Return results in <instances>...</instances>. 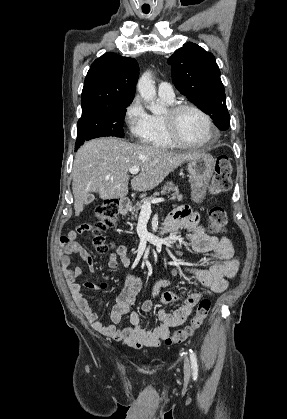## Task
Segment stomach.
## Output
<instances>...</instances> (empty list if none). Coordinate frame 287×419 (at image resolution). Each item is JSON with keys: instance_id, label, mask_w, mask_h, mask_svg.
<instances>
[{"instance_id": "1", "label": "stomach", "mask_w": 287, "mask_h": 419, "mask_svg": "<svg viewBox=\"0 0 287 419\" xmlns=\"http://www.w3.org/2000/svg\"><path fill=\"white\" fill-rule=\"evenodd\" d=\"M215 169V159L210 154L202 153L188 161L191 190L194 200L201 201Z\"/></svg>"}]
</instances>
